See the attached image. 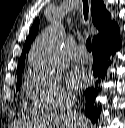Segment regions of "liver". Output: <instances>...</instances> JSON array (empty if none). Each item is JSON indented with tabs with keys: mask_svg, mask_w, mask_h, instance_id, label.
<instances>
[{
	"mask_svg": "<svg viewBox=\"0 0 125 128\" xmlns=\"http://www.w3.org/2000/svg\"><path fill=\"white\" fill-rule=\"evenodd\" d=\"M79 117L81 119L80 128H88V124H89L88 119L84 117L83 115H80ZM49 123H50V126H51V123H52V126H57V127L58 126H69L70 120L67 116H60V117H55L53 120L52 119L49 120L47 124L49 125Z\"/></svg>",
	"mask_w": 125,
	"mask_h": 128,
	"instance_id": "obj_1",
	"label": "liver"
}]
</instances>
